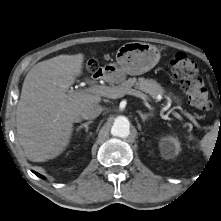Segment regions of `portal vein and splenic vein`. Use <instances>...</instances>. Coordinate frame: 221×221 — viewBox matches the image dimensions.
Masks as SVG:
<instances>
[{
    "label": "portal vein and splenic vein",
    "mask_w": 221,
    "mask_h": 221,
    "mask_svg": "<svg viewBox=\"0 0 221 221\" xmlns=\"http://www.w3.org/2000/svg\"><path fill=\"white\" fill-rule=\"evenodd\" d=\"M85 91L88 92V93L100 94L101 96L112 98V99L123 97L125 95H133V96H136L138 98H141L143 101L148 100V97L144 93H142L140 91H137L135 89H130V90L117 92L109 86L94 85V86H91V87L85 89ZM172 114L178 119H180V117H181L177 112H172ZM184 115L190 121H192L195 125H198V123L195 120L194 116H192L191 114H189L187 112H184Z\"/></svg>",
    "instance_id": "1"
}]
</instances>
